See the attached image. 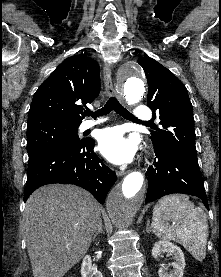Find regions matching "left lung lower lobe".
<instances>
[{
	"label": "left lung lower lobe",
	"mask_w": 221,
	"mask_h": 277,
	"mask_svg": "<svg viewBox=\"0 0 221 277\" xmlns=\"http://www.w3.org/2000/svg\"><path fill=\"white\" fill-rule=\"evenodd\" d=\"M156 159L147 169L148 190L145 203L168 194L183 193L199 197L209 210L203 178L198 164L169 151H155Z\"/></svg>",
	"instance_id": "1"
}]
</instances>
